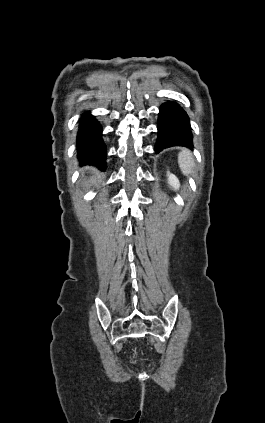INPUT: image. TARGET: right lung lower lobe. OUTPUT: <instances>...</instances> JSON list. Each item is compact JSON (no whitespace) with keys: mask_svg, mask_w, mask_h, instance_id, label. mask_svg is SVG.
Returning a JSON list of instances; mask_svg holds the SVG:
<instances>
[{"mask_svg":"<svg viewBox=\"0 0 265 423\" xmlns=\"http://www.w3.org/2000/svg\"><path fill=\"white\" fill-rule=\"evenodd\" d=\"M102 128L90 114L80 121L77 135V153L82 164L97 165L106 168V147L102 141Z\"/></svg>","mask_w":265,"mask_h":423,"instance_id":"98d812e1","label":"right lung lower lobe"}]
</instances>
